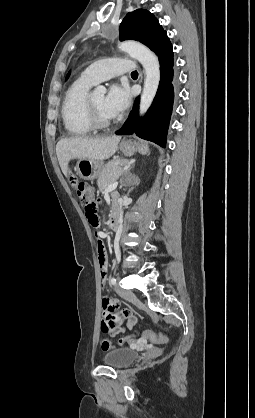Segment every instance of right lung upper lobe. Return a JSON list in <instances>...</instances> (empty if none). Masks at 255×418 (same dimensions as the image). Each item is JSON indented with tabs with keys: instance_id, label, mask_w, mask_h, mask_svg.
<instances>
[{
	"instance_id": "obj_1",
	"label": "right lung upper lobe",
	"mask_w": 255,
	"mask_h": 418,
	"mask_svg": "<svg viewBox=\"0 0 255 418\" xmlns=\"http://www.w3.org/2000/svg\"><path fill=\"white\" fill-rule=\"evenodd\" d=\"M69 74H70V73H68V75H67V77H66V78H68V77H69Z\"/></svg>"
}]
</instances>
